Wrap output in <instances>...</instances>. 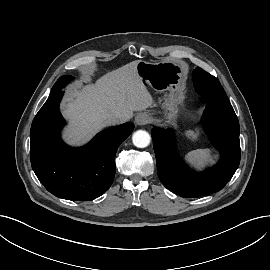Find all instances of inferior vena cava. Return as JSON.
Here are the masks:
<instances>
[{"instance_id":"obj_1","label":"inferior vena cava","mask_w":270,"mask_h":270,"mask_svg":"<svg viewBox=\"0 0 270 270\" xmlns=\"http://www.w3.org/2000/svg\"><path fill=\"white\" fill-rule=\"evenodd\" d=\"M127 121V117L122 114H111L108 117V123L111 125H119L125 123Z\"/></svg>"}]
</instances>
